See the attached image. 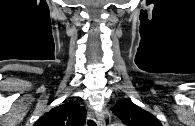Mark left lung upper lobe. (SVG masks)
Listing matches in <instances>:
<instances>
[{"mask_svg":"<svg viewBox=\"0 0 195 126\" xmlns=\"http://www.w3.org/2000/svg\"><path fill=\"white\" fill-rule=\"evenodd\" d=\"M111 110L126 126H162L154 115L129 100L117 101Z\"/></svg>","mask_w":195,"mask_h":126,"instance_id":"obj_1","label":"left lung upper lobe"}]
</instances>
